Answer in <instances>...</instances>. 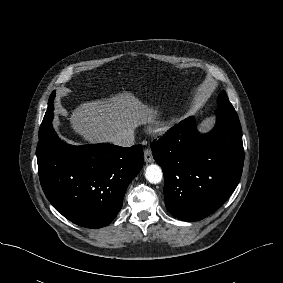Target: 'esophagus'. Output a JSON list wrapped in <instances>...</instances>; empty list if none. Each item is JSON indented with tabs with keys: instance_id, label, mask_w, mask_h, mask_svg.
Returning a JSON list of instances; mask_svg holds the SVG:
<instances>
[{
	"instance_id": "esophagus-1",
	"label": "esophagus",
	"mask_w": 283,
	"mask_h": 283,
	"mask_svg": "<svg viewBox=\"0 0 283 283\" xmlns=\"http://www.w3.org/2000/svg\"><path fill=\"white\" fill-rule=\"evenodd\" d=\"M144 160H145L146 163L153 162V154H152V151L149 148H146L144 150Z\"/></svg>"
}]
</instances>
